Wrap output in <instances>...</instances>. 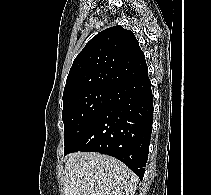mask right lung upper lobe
I'll return each instance as SVG.
<instances>
[{"label": "right lung upper lobe", "instance_id": "cb5924a9", "mask_svg": "<svg viewBox=\"0 0 211 195\" xmlns=\"http://www.w3.org/2000/svg\"><path fill=\"white\" fill-rule=\"evenodd\" d=\"M147 73L145 55L133 32L110 27L92 38L75 58L63 100L89 89H112Z\"/></svg>", "mask_w": 211, "mask_h": 195}]
</instances>
